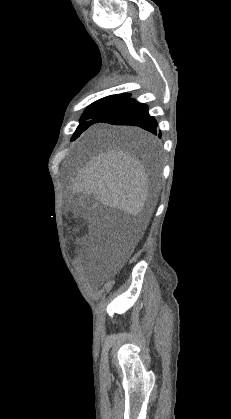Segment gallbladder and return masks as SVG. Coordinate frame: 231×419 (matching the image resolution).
I'll list each match as a JSON object with an SVG mask.
<instances>
[{
  "instance_id": "bac80fb5",
  "label": "gallbladder",
  "mask_w": 231,
  "mask_h": 419,
  "mask_svg": "<svg viewBox=\"0 0 231 419\" xmlns=\"http://www.w3.org/2000/svg\"><path fill=\"white\" fill-rule=\"evenodd\" d=\"M84 205L85 206H92V205H94V201L93 200H91V202L85 201Z\"/></svg>"
}]
</instances>
